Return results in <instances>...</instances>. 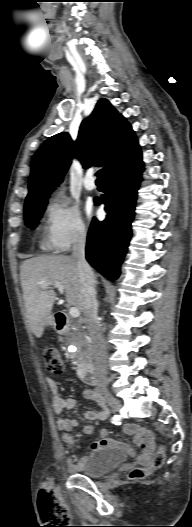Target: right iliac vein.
Returning <instances> with one entry per match:
<instances>
[{
	"label": "right iliac vein",
	"instance_id": "1",
	"mask_svg": "<svg viewBox=\"0 0 192 527\" xmlns=\"http://www.w3.org/2000/svg\"><path fill=\"white\" fill-rule=\"evenodd\" d=\"M105 400L108 403V405L112 408L113 411H118L121 408V403L118 399L114 398L110 394L105 395Z\"/></svg>",
	"mask_w": 192,
	"mask_h": 527
}]
</instances>
